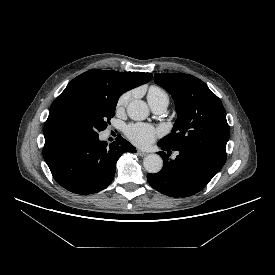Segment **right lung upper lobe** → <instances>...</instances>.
<instances>
[{"label": "right lung upper lobe", "mask_w": 275, "mask_h": 275, "mask_svg": "<svg viewBox=\"0 0 275 275\" xmlns=\"http://www.w3.org/2000/svg\"><path fill=\"white\" fill-rule=\"evenodd\" d=\"M151 73L118 72L106 70H90L74 78L65 90L53 102L49 114L56 105L69 95L79 92H99L120 96L122 93L147 83L152 78ZM52 136L44 127V137Z\"/></svg>", "instance_id": "cb5924a9"}]
</instances>
